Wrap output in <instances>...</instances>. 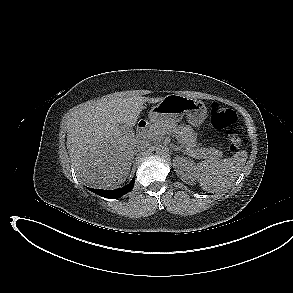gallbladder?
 Returning a JSON list of instances; mask_svg holds the SVG:
<instances>
[{
	"mask_svg": "<svg viewBox=\"0 0 293 293\" xmlns=\"http://www.w3.org/2000/svg\"><path fill=\"white\" fill-rule=\"evenodd\" d=\"M118 126H119V128H120L123 132H125L127 135L132 136V135L134 134L132 129L124 128V125H122V124H119ZM123 128H124V130H123Z\"/></svg>",
	"mask_w": 293,
	"mask_h": 293,
	"instance_id": "bac80fb5",
	"label": "gallbladder"
}]
</instances>
